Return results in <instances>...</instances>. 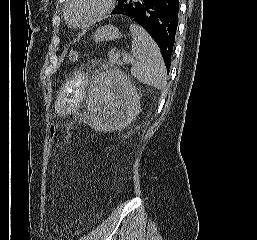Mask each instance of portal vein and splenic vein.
Returning <instances> with one entry per match:
<instances>
[{"mask_svg":"<svg viewBox=\"0 0 257 240\" xmlns=\"http://www.w3.org/2000/svg\"><path fill=\"white\" fill-rule=\"evenodd\" d=\"M122 60H123L124 63H132V62H134V58L130 57L129 55H123Z\"/></svg>","mask_w":257,"mask_h":240,"instance_id":"18ae733b","label":"portal vein and splenic vein"}]
</instances>
